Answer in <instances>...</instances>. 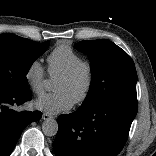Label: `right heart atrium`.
I'll list each match as a JSON object with an SVG mask.
<instances>
[{"label": "right heart atrium", "instance_id": "obj_1", "mask_svg": "<svg viewBox=\"0 0 156 156\" xmlns=\"http://www.w3.org/2000/svg\"><path fill=\"white\" fill-rule=\"evenodd\" d=\"M45 76V70L38 60H33L24 74L28 87L36 95H40L44 91Z\"/></svg>", "mask_w": 156, "mask_h": 156}]
</instances>
